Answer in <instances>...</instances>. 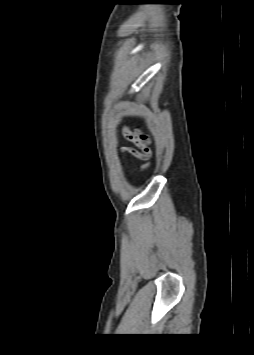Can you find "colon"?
Listing matches in <instances>:
<instances>
[{"instance_id": "colon-1", "label": "colon", "mask_w": 254, "mask_h": 355, "mask_svg": "<svg viewBox=\"0 0 254 355\" xmlns=\"http://www.w3.org/2000/svg\"><path fill=\"white\" fill-rule=\"evenodd\" d=\"M139 137H140V140H141L142 143H144V144H147V143H148L149 139H148L147 136H145V135H139Z\"/></svg>"}]
</instances>
